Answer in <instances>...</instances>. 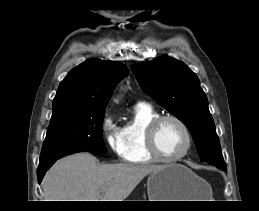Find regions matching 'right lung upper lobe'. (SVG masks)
<instances>
[{
  "label": "right lung upper lobe",
  "instance_id": "obj_1",
  "mask_svg": "<svg viewBox=\"0 0 259 211\" xmlns=\"http://www.w3.org/2000/svg\"><path fill=\"white\" fill-rule=\"evenodd\" d=\"M127 74V67L120 62L86 60L61 82L53 101L52 117L75 108H106L115 85Z\"/></svg>",
  "mask_w": 259,
  "mask_h": 211
}]
</instances>
